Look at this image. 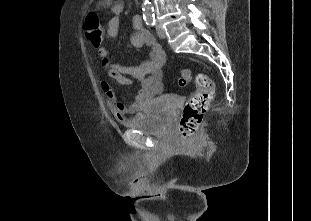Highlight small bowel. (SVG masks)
<instances>
[{
	"label": "small bowel",
	"instance_id": "small-bowel-1",
	"mask_svg": "<svg viewBox=\"0 0 311 221\" xmlns=\"http://www.w3.org/2000/svg\"><path fill=\"white\" fill-rule=\"evenodd\" d=\"M123 9L124 4L121 1L111 5V18L105 30V36L108 39L118 37ZM132 24L135 29L131 36L132 46L140 48L148 45L150 47L149 58L146 61L137 65L116 64L109 59V49L106 46L98 49V56L105 74L101 87L110 109L118 119L140 112L147 101L158 95L163 88L162 68L166 63V55L153 36L143 27L141 17L135 16ZM111 79L121 85H138V91L130 104L127 105L118 100L116 91L110 82Z\"/></svg>",
	"mask_w": 311,
	"mask_h": 221
}]
</instances>
